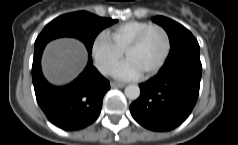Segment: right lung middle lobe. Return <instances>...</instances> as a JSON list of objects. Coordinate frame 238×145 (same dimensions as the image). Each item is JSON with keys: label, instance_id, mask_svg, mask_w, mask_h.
<instances>
[{"label": "right lung middle lobe", "instance_id": "obj_1", "mask_svg": "<svg viewBox=\"0 0 238 145\" xmlns=\"http://www.w3.org/2000/svg\"><path fill=\"white\" fill-rule=\"evenodd\" d=\"M117 21L101 18L86 11L61 15L45 26L35 41V48L59 37H75L84 43L91 55L96 36Z\"/></svg>", "mask_w": 238, "mask_h": 145}]
</instances>
